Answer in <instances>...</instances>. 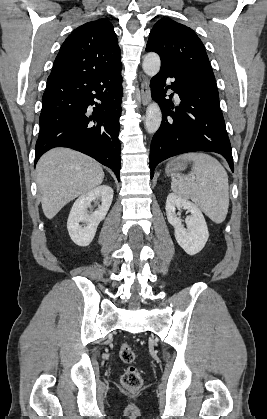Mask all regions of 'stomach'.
I'll return each mask as SVG.
<instances>
[{
	"mask_svg": "<svg viewBox=\"0 0 267 419\" xmlns=\"http://www.w3.org/2000/svg\"><path fill=\"white\" fill-rule=\"evenodd\" d=\"M186 166H187L186 161H176V159L172 160L166 167V173L168 175L176 174V173L184 170L186 168Z\"/></svg>",
	"mask_w": 267,
	"mask_h": 419,
	"instance_id": "stomach-1",
	"label": "stomach"
}]
</instances>
